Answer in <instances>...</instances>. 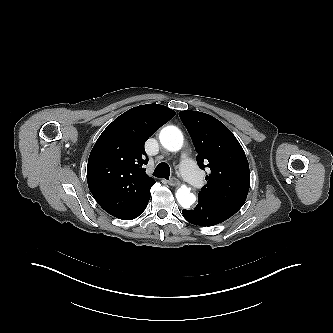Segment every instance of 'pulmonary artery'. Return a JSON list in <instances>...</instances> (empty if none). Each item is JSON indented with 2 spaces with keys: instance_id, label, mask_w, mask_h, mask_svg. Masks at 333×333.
I'll return each instance as SVG.
<instances>
[{
  "instance_id": "1",
  "label": "pulmonary artery",
  "mask_w": 333,
  "mask_h": 333,
  "mask_svg": "<svg viewBox=\"0 0 333 333\" xmlns=\"http://www.w3.org/2000/svg\"><path fill=\"white\" fill-rule=\"evenodd\" d=\"M180 170L186 180L195 188L202 186L203 179L195 163L187 155H182Z\"/></svg>"
}]
</instances>
